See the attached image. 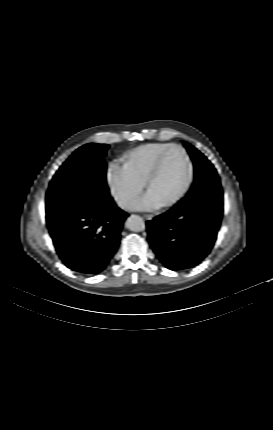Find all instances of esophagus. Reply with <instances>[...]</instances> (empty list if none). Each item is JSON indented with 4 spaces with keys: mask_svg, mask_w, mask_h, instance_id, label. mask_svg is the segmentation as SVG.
<instances>
[{
    "mask_svg": "<svg viewBox=\"0 0 273 430\" xmlns=\"http://www.w3.org/2000/svg\"><path fill=\"white\" fill-rule=\"evenodd\" d=\"M143 217H144L146 220H152V219H153V215H152V214H144V215H143Z\"/></svg>",
    "mask_w": 273,
    "mask_h": 430,
    "instance_id": "1",
    "label": "esophagus"
}]
</instances>
